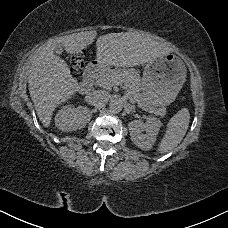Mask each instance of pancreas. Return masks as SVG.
Returning <instances> with one entry per match:
<instances>
[{
	"instance_id": "cf45deb5",
	"label": "pancreas",
	"mask_w": 228,
	"mask_h": 228,
	"mask_svg": "<svg viewBox=\"0 0 228 228\" xmlns=\"http://www.w3.org/2000/svg\"><path fill=\"white\" fill-rule=\"evenodd\" d=\"M119 85L123 89L127 90V95L134 99V101L138 102L142 105V108L145 111L152 112L155 115L164 116L166 114V108L161 107L158 109H148L146 105H144L140 101V76L135 73L133 69L124 70V69H110L106 68L105 73L96 81V85L104 87L106 89H111L112 85Z\"/></svg>"
}]
</instances>
